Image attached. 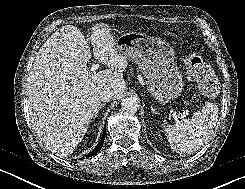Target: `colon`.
Wrapping results in <instances>:
<instances>
[{"label": "colon", "instance_id": "1", "mask_svg": "<svg viewBox=\"0 0 245 189\" xmlns=\"http://www.w3.org/2000/svg\"><path fill=\"white\" fill-rule=\"evenodd\" d=\"M187 76L189 80L198 83L206 93L205 100L218 93L220 83L212 66L199 56H189L186 59Z\"/></svg>", "mask_w": 245, "mask_h": 189}]
</instances>
